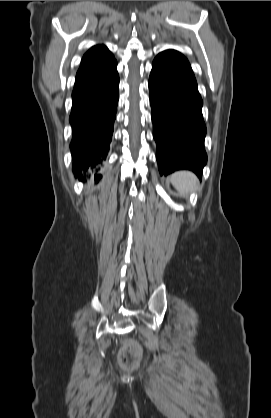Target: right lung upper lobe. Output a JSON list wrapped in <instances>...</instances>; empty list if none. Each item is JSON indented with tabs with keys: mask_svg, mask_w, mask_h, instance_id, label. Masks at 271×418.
<instances>
[{
	"mask_svg": "<svg viewBox=\"0 0 271 418\" xmlns=\"http://www.w3.org/2000/svg\"><path fill=\"white\" fill-rule=\"evenodd\" d=\"M114 59L112 53L104 45L90 48L83 56L75 82L91 74Z\"/></svg>",
	"mask_w": 271,
	"mask_h": 418,
	"instance_id": "right-lung-upper-lobe-1",
	"label": "right lung upper lobe"
}]
</instances>
